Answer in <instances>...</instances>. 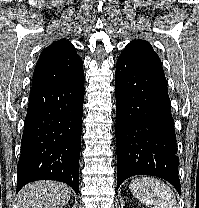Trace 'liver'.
Returning <instances> with one entry per match:
<instances>
[{"instance_id":"1","label":"liver","mask_w":199,"mask_h":208,"mask_svg":"<svg viewBox=\"0 0 199 208\" xmlns=\"http://www.w3.org/2000/svg\"><path fill=\"white\" fill-rule=\"evenodd\" d=\"M71 196L70 188L57 181H36L19 193V208H62Z\"/></svg>"}]
</instances>
